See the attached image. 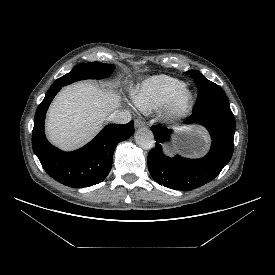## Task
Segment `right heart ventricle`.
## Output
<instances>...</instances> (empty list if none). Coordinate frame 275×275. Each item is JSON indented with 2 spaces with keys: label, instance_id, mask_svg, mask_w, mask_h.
Wrapping results in <instances>:
<instances>
[{
  "label": "right heart ventricle",
  "instance_id": "right-heart-ventricle-1",
  "mask_svg": "<svg viewBox=\"0 0 275 275\" xmlns=\"http://www.w3.org/2000/svg\"><path fill=\"white\" fill-rule=\"evenodd\" d=\"M184 85L183 81L167 75L150 77L133 93L134 103L143 112L155 111Z\"/></svg>",
  "mask_w": 275,
  "mask_h": 275
}]
</instances>
